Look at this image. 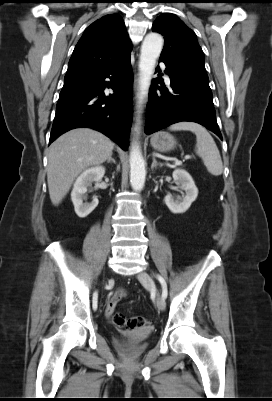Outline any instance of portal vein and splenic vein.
<instances>
[{
    "mask_svg": "<svg viewBox=\"0 0 272 401\" xmlns=\"http://www.w3.org/2000/svg\"><path fill=\"white\" fill-rule=\"evenodd\" d=\"M192 157L190 156V155H186L185 156V159H191ZM181 162L180 161H178V160H175V164L176 165H178V164H180Z\"/></svg>",
    "mask_w": 272,
    "mask_h": 401,
    "instance_id": "1",
    "label": "portal vein and splenic vein"
}]
</instances>
